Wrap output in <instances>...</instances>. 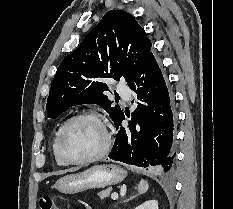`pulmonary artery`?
Returning <instances> with one entry per match:
<instances>
[{"instance_id":"obj_1","label":"pulmonary artery","mask_w":233,"mask_h":209,"mask_svg":"<svg viewBox=\"0 0 233 209\" xmlns=\"http://www.w3.org/2000/svg\"><path fill=\"white\" fill-rule=\"evenodd\" d=\"M117 92L127 98L131 95V89L122 82L118 83Z\"/></svg>"}]
</instances>
